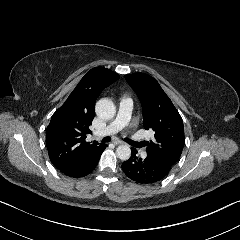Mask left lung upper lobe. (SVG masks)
<instances>
[{
  "instance_id": "1",
  "label": "left lung upper lobe",
  "mask_w": 240,
  "mask_h": 240,
  "mask_svg": "<svg viewBox=\"0 0 240 240\" xmlns=\"http://www.w3.org/2000/svg\"><path fill=\"white\" fill-rule=\"evenodd\" d=\"M126 81L139 97L143 111V125L154 132L147 154L173 166L180 158L185 139L183 120L170 98L158 82L145 73L125 75Z\"/></svg>"
}]
</instances>
